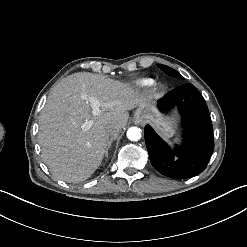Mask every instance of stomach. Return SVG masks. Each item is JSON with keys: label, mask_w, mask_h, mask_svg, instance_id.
<instances>
[{"label": "stomach", "mask_w": 247, "mask_h": 247, "mask_svg": "<svg viewBox=\"0 0 247 247\" xmlns=\"http://www.w3.org/2000/svg\"><path fill=\"white\" fill-rule=\"evenodd\" d=\"M151 122L156 130L163 135L172 134L176 118L163 117L156 107V100L149 99L145 104L139 106L134 113V122L136 124L142 122Z\"/></svg>", "instance_id": "obj_1"}]
</instances>
